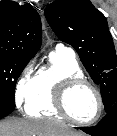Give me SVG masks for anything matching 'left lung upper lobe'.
<instances>
[{
    "label": "left lung upper lobe",
    "instance_id": "obj_1",
    "mask_svg": "<svg viewBox=\"0 0 117 136\" xmlns=\"http://www.w3.org/2000/svg\"><path fill=\"white\" fill-rule=\"evenodd\" d=\"M58 38L72 45L101 86L106 113L117 106V56L105 16L89 0H60L45 8Z\"/></svg>",
    "mask_w": 117,
    "mask_h": 136
}]
</instances>
